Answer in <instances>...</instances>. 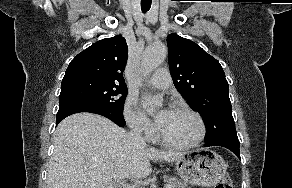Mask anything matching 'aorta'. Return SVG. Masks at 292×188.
<instances>
[{
    "mask_svg": "<svg viewBox=\"0 0 292 188\" xmlns=\"http://www.w3.org/2000/svg\"><path fill=\"white\" fill-rule=\"evenodd\" d=\"M167 47L162 43H154L148 46L143 55L141 61L140 71L142 75H150L166 58ZM162 100L160 98L150 99V103L154 105H160Z\"/></svg>",
    "mask_w": 292,
    "mask_h": 188,
    "instance_id": "obj_1",
    "label": "aorta"
}]
</instances>
